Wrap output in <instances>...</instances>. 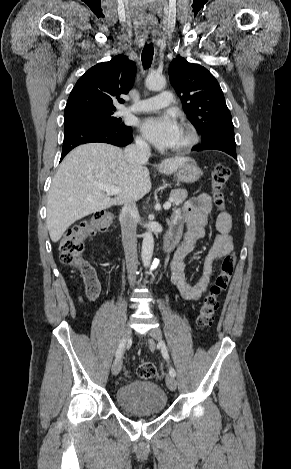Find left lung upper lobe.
<instances>
[{
  "mask_svg": "<svg viewBox=\"0 0 291 469\" xmlns=\"http://www.w3.org/2000/svg\"><path fill=\"white\" fill-rule=\"evenodd\" d=\"M169 76L188 120L201 132L203 143L216 138L234 139L232 117L223 92L206 68L179 56L170 63Z\"/></svg>",
  "mask_w": 291,
  "mask_h": 469,
  "instance_id": "obj_1",
  "label": "left lung upper lobe"
}]
</instances>
